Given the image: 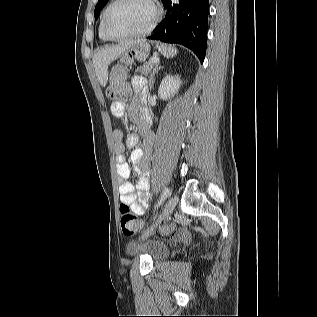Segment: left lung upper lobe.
Listing matches in <instances>:
<instances>
[{
  "label": "left lung upper lobe",
  "instance_id": "5c2ea615",
  "mask_svg": "<svg viewBox=\"0 0 317 317\" xmlns=\"http://www.w3.org/2000/svg\"><path fill=\"white\" fill-rule=\"evenodd\" d=\"M163 1L164 0H162V2ZM107 2L108 0H98V3L96 4L95 11H94L95 19L98 18L99 12L102 10V8L106 5Z\"/></svg>",
  "mask_w": 317,
  "mask_h": 317
}]
</instances>
